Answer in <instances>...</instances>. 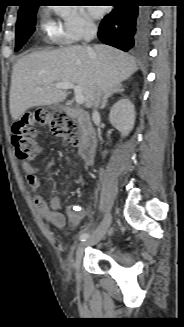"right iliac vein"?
<instances>
[{
    "label": "right iliac vein",
    "instance_id": "obj_1",
    "mask_svg": "<svg viewBox=\"0 0 184 327\" xmlns=\"http://www.w3.org/2000/svg\"><path fill=\"white\" fill-rule=\"evenodd\" d=\"M111 219H112L111 213L108 212L105 218L103 219V221L101 222V224L99 225V227L89 236V238H87V240L79 244L76 251V259L74 263V267L76 270V278L78 281L81 278L80 264L85 249L89 246L97 244L104 237V235L106 234V232L110 227Z\"/></svg>",
    "mask_w": 184,
    "mask_h": 327
}]
</instances>
